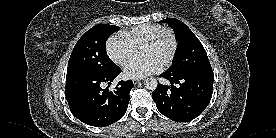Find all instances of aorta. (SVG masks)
Returning a JSON list of instances; mask_svg holds the SVG:
<instances>
[{
	"label": "aorta",
	"instance_id": "1",
	"mask_svg": "<svg viewBox=\"0 0 276 138\" xmlns=\"http://www.w3.org/2000/svg\"><path fill=\"white\" fill-rule=\"evenodd\" d=\"M144 85H145L146 89L153 91L157 88L158 82L155 78L150 77V78L145 79Z\"/></svg>",
	"mask_w": 276,
	"mask_h": 138
}]
</instances>
